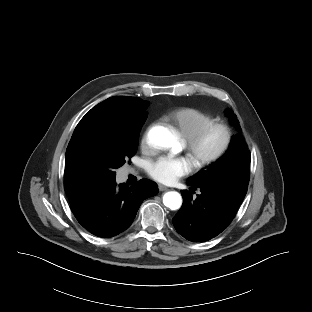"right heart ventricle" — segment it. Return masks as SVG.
<instances>
[{
    "instance_id": "obj_1",
    "label": "right heart ventricle",
    "mask_w": 312,
    "mask_h": 312,
    "mask_svg": "<svg viewBox=\"0 0 312 312\" xmlns=\"http://www.w3.org/2000/svg\"><path fill=\"white\" fill-rule=\"evenodd\" d=\"M166 120L171 122L186 139L214 121V118L196 108L183 107L170 112Z\"/></svg>"
}]
</instances>
